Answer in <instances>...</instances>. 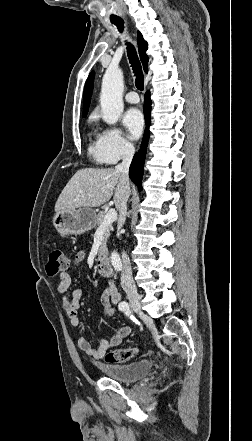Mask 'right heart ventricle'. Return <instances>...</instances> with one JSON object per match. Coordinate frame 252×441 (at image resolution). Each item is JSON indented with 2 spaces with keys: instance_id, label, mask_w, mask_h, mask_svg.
<instances>
[{
  "instance_id": "1",
  "label": "right heart ventricle",
  "mask_w": 252,
  "mask_h": 441,
  "mask_svg": "<svg viewBox=\"0 0 252 441\" xmlns=\"http://www.w3.org/2000/svg\"><path fill=\"white\" fill-rule=\"evenodd\" d=\"M93 136H94V139L92 140V142L90 143L89 148H88L89 154L94 159H96V161L102 162L100 152H99V136H100V134L93 132Z\"/></svg>"
}]
</instances>
